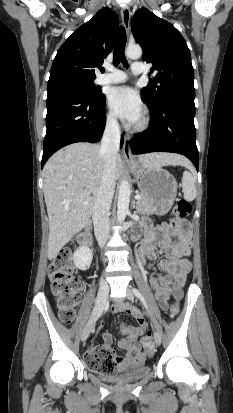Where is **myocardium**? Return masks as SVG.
Segmentation results:
<instances>
[{
  "label": "myocardium",
  "instance_id": "1",
  "mask_svg": "<svg viewBox=\"0 0 233 413\" xmlns=\"http://www.w3.org/2000/svg\"><path fill=\"white\" fill-rule=\"evenodd\" d=\"M150 123V119L147 115H144L138 123L133 127V131L136 133L144 132L148 129Z\"/></svg>",
  "mask_w": 233,
  "mask_h": 413
}]
</instances>
